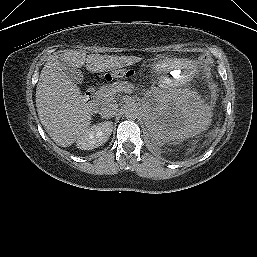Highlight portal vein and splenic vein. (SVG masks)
Segmentation results:
<instances>
[{"instance_id":"portal-vein-and-splenic-vein-1","label":"portal vein and splenic vein","mask_w":257,"mask_h":257,"mask_svg":"<svg viewBox=\"0 0 257 257\" xmlns=\"http://www.w3.org/2000/svg\"><path fill=\"white\" fill-rule=\"evenodd\" d=\"M117 92L131 93V90L129 88L122 87V88H119Z\"/></svg>"}]
</instances>
